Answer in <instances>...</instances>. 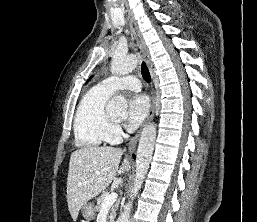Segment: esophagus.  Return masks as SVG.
<instances>
[{
  "label": "esophagus",
  "instance_id": "1",
  "mask_svg": "<svg viewBox=\"0 0 257 222\" xmlns=\"http://www.w3.org/2000/svg\"><path fill=\"white\" fill-rule=\"evenodd\" d=\"M130 22H131V26H132V30L134 32L135 38H136V40H137V42H138V44H139V46L141 48V51H142V53L144 55L145 61H146L148 66H151L152 63H151L150 53H149V50H148V48L146 46V43H145V41L143 39V36H142V34H141L137 24L133 20H130ZM155 109H156V99H155V95L153 93L151 107H150L149 113L147 115V118H146V120L144 122V125L146 123L150 122L153 119L154 113H155ZM141 131H142V128L130 140L129 145H128V152L129 153H132L135 150L137 142H138L140 134H141Z\"/></svg>",
  "mask_w": 257,
  "mask_h": 222
}]
</instances>
